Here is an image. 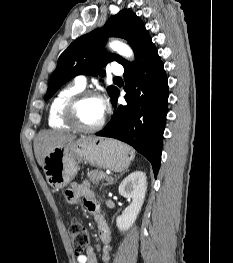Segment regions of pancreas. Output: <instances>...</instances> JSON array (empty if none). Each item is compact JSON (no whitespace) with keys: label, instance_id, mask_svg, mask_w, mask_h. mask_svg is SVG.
I'll return each instance as SVG.
<instances>
[{"label":"pancreas","instance_id":"1","mask_svg":"<svg viewBox=\"0 0 233 263\" xmlns=\"http://www.w3.org/2000/svg\"><path fill=\"white\" fill-rule=\"evenodd\" d=\"M89 180L94 184H98L100 181L107 180L109 177L101 170H92L87 173Z\"/></svg>","mask_w":233,"mask_h":263}]
</instances>
